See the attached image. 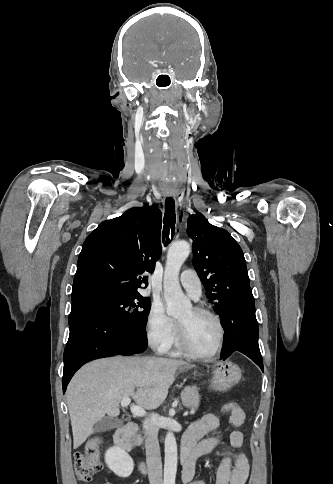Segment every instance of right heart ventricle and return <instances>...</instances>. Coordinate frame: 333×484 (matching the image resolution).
Listing matches in <instances>:
<instances>
[{
  "label": "right heart ventricle",
  "instance_id": "obj_1",
  "mask_svg": "<svg viewBox=\"0 0 333 484\" xmlns=\"http://www.w3.org/2000/svg\"><path fill=\"white\" fill-rule=\"evenodd\" d=\"M166 351L172 356H178V355L183 353V350H182V348L179 344V341H178L177 329H176V332H175V337H174L173 343L170 346V348Z\"/></svg>",
  "mask_w": 333,
  "mask_h": 484
}]
</instances>
